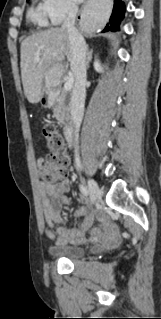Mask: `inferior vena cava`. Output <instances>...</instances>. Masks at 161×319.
Returning <instances> with one entry per match:
<instances>
[{
	"label": "inferior vena cava",
	"mask_w": 161,
	"mask_h": 319,
	"mask_svg": "<svg viewBox=\"0 0 161 319\" xmlns=\"http://www.w3.org/2000/svg\"><path fill=\"white\" fill-rule=\"evenodd\" d=\"M78 6L74 3L68 6V15L65 18L62 29L68 33L72 50L71 70L75 77V83L71 94L70 112L75 128V165L81 167L78 153L79 129L84 115V103L86 97V69H87V46L83 36L75 28V19Z\"/></svg>",
	"instance_id": "602c4592"
}]
</instances>
